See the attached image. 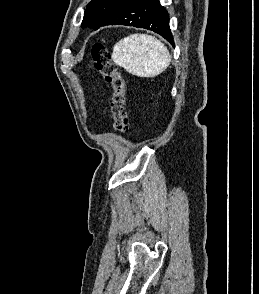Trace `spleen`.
<instances>
[{"label": "spleen", "instance_id": "obj_1", "mask_svg": "<svg viewBox=\"0 0 259 294\" xmlns=\"http://www.w3.org/2000/svg\"><path fill=\"white\" fill-rule=\"evenodd\" d=\"M113 61L138 77H154L170 65L167 47L151 35L132 34L113 47Z\"/></svg>", "mask_w": 259, "mask_h": 294}]
</instances>
